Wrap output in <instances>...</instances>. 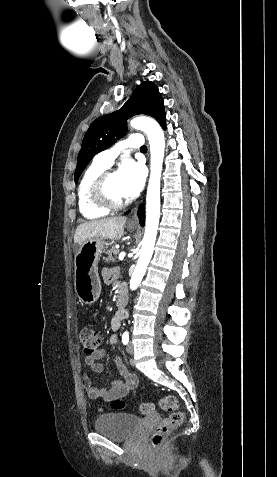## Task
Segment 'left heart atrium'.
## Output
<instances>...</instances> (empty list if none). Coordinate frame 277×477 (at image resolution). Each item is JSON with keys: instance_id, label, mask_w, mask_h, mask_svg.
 I'll list each match as a JSON object with an SVG mask.
<instances>
[{"instance_id": "left-heart-atrium-1", "label": "left heart atrium", "mask_w": 277, "mask_h": 477, "mask_svg": "<svg viewBox=\"0 0 277 477\" xmlns=\"http://www.w3.org/2000/svg\"><path fill=\"white\" fill-rule=\"evenodd\" d=\"M122 194L125 198L136 197L143 188L146 172L144 167L134 160L122 162L117 171Z\"/></svg>"}]
</instances>
